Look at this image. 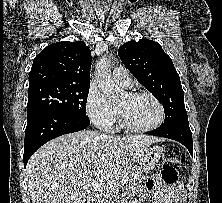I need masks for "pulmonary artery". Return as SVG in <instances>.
Masks as SVG:
<instances>
[{"label":"pulmonary artery","mask_w":222,"mask_h":203,"mask_svg":"<svg viewBox=\"0 0 222 203\" xmlns=\"http://www.w3.org/2000/svg\"><path fill=\"white\" fill-rule=\"evenodd\" d=\"M113 78L118 85L124 88H129L131 86L130 74L124 67H116L113 70Z\"/></svg>","instance_id":"pulmonary-artery-1"}]
</instances>
